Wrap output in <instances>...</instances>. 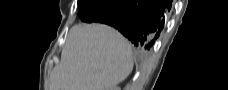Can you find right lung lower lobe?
<instances>
[{
    "instance_id": "1",
    "label": "right lung lower lobe",
    "mask_w": 228,
    "mask_h": 90,
    "mask_svg": "<svg viewBox=\"0 0 228 90\" xmlns=\"http://www.w3.org/2000/svg\"><path fill=\"white\" fill-rule=\"evenodd\" d=\"M171 5L172 0H97L84 8L81 20L114 27L144 56L164 27Z\"/></svg>"
}]
</instances>
